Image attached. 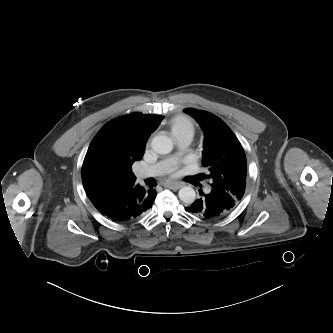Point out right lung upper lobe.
Masks as SVG:
<instances>
[{
	"label": "right lung upper lobe",
	"instance_id": "cb5924a9",
	"mask_svg": "<svg viewBox=\"0 0 333 333\" xmlns=\"http://www.w3.org/2000/svg\"><path fill=\"white\" fill-rule=\"evenodd\" d=\"M160 115L132 113L108 122L94 137L82 166V181L85 191L123 183H134L132 179L102 178L96 169L113 159L140 160L147 139L156 130Z\"/></svg>",
	"mask_w": 333,
	"mask_h": 333
}]
</instances>
